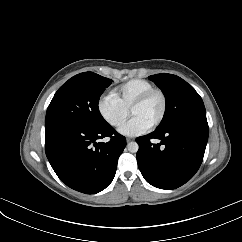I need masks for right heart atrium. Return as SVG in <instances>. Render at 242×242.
<instances>
[{
  "label": "right heart atrium",
  "mask_w": 242,
  "mask_h": 242,
  "mask_svg": "<svg viewBox=\"0 0 242 242\" xmlns=\"http://www.w3.org/2000/svg\"><path fill=\"white\" fill-rule=\"evenodd\" d=\"M97 108L101 117L112 127H119L129 116V110L123 107L112 95L101 97Z\"/></svg>",
  "instance_id": "obj_1"
}]
</instances>
